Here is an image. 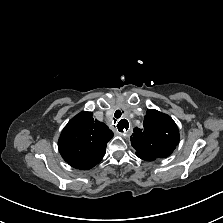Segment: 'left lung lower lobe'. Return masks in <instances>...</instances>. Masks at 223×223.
Here are the masks:
<instances>
[{
    "instance_id": "0a47b994",
    "label": "left lung lower lobe",
    "mask_w": 223,
    "mask_h": 223,
    "mask_svg": "<svg viewBox=\"0 0 223 223\" xmlns=\"http://www.w3.org/2000/svg\"><path fill=\"white\" fill-rule=\"evenodd\" d=\"M139 158L143 159V160H146V161H153L154 159H151V158H145V157H140L138 156Z\"/></svg>"
}]
</instances>
